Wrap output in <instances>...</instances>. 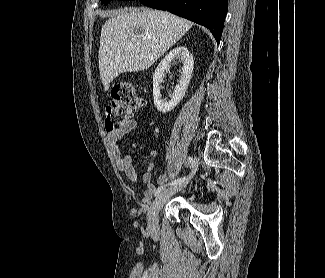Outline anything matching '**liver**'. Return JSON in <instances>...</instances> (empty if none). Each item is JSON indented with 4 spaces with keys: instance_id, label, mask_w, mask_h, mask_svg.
<instances>
[{
    "instance_id": "obj_1",
    "label": "liver",
    "mask_w": 325,
    "mask_h": 278,
    "mask_svg": "<svg viewBox=\"0 0 325 278\" xmlns=\"http://www.w3.org/2000/svg\"><path fill=\"white\" fill-rule=\"evenodd\" d=\"M101 30L100 78L107 91L121 73L148 69L193 25L168 12L147 8L105 13ZM140 29L141 33L135 30Z\"/></svg>"
}]
</instances>
